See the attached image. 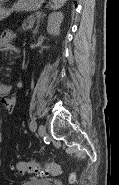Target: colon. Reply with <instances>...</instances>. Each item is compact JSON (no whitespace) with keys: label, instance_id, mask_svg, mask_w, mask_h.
<instances>
[{"label":"colon","instance_id":"5ec220e1","mask_svg":"<svg viewBox=\"0 0 119 185\" xmlns=\"http://www.w3.org/2000/svg\"><path fill=\"white\" fill-rule=\"evenodd\" d=\"M14 168L20 173H30L35 175H41L45 177L60 175L62 170L58 163L47 162L44 164L38 163L34 160L30 161H19L16 163ZM76 179V174L72 173L70 175V182H74Z\"/></svg>","mask_w":119,"mask_h":185}]
</instances>
